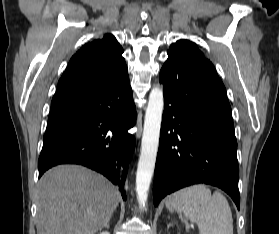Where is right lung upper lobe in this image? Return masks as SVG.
Returning a JSON list of instances; mask_svg holds the SVG:
<instances>
[{
	"mask_svg": "<svg viewBox=\"0 0 279 234\" xmlns=\"http://www.w3.org/2000/svg\"><path fill=\"white\" fill-rule=\"evenodd\" d=\"M123 49L111 34L85 44L72 56L52 101L102 86L127 71Z\"/></svg>",
	"mask_w": 279,
	"mask_h": 234,
	"instance_id": "obj_1",
	"label": "right lung upper lobe"
}]
</instances>
